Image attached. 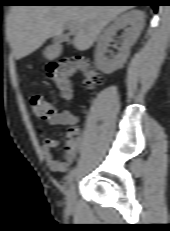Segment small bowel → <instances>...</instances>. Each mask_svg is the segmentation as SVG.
<instances>
[{"mask_svg": "<svg viewBox=\"0 0 170 231\" xmlns=\"http://www.w3.org/2000/svg\"><path fill=\"white\" fill-rule=\"evenodd\" d=\"M77 122L78 118L67 110L57 111L49 119H47V123L51 126H73L77 124ZM36 131L43 137L41 152L48 168L55 173L66 172L75 161L77 153L82 147V141H77L72 145H67L63 160H57L52 154V149L58 146V141L45 136L41 126H38Z\"/></svg>", "mask_w": 170, "mask_h": 231, "instance_id": "small-bowel-1", "label": "small bowel"}]
</instances>
